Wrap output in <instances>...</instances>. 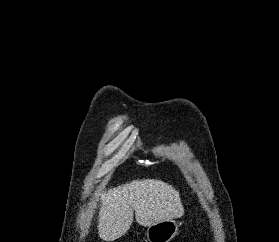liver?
I'll use <instances>...</instances> for the list:
<instances>
[{"instance_id": "6515ba94", "label": "liver", "mask_w": 279, "mask_h": 242, "mask_svg": "<svg viewBox=\"0 0 279 242\" xmlns=\"http://www.w3.org/2000/svg\"><path fill=\"white\" fill-rule=\"evenodd\" d=\"M98 234L102 240L122 237L135 218L141 226L182 217L184 207L179 192L157 179L134 180L101 194Z\"/></svg>"}]
</instances>
